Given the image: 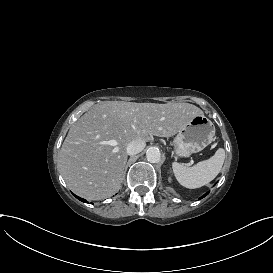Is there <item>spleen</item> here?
Returning a JSON list of instances; mask_svg holds the SVG:
<instances>
[{
  "mask_svg": "<svg viewBox=\"0 0 273 273\" xmlns=\"http://www.w3.org/2000/svg\"><path fill=\"white\" fill-rule=\"evenodd\" d=\"M225 161V151L219 149L209 160L188 166L174 163L175 175L180 184L188 189H197L213 181L222 169Z\"/></svg>",
  "mask_w": 273,
  "mask_h": 273,
  "instance_id": "1",
  "label": "spleen"
}]
</instances>
